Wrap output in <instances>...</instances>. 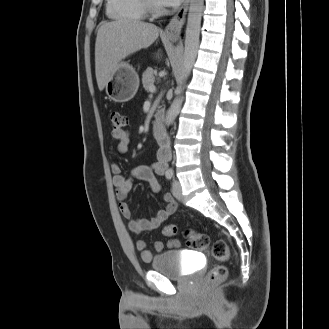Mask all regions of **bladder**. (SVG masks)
Segmentation results:
<instances>
[{
	"label": "bladder",
	"mask_w": 329,
	"mask_h": 329,
	"mask_svg": "<svg viewBox=\"0 0 329 329\" xmlns=\"http://www.w3.org/2000/svg\"><path fill=\"white\" fill-rule=\"evenodd\" d=\"M151 268L171 279H182L187 275L183 270L180 250H170L157 254L152 259Z\"/></svg>",
	"instance_id": "1"
}]
</instances>
